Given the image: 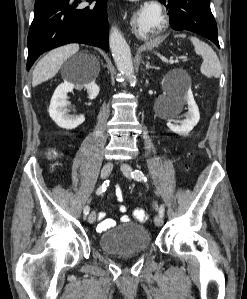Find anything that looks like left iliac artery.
<instances>
[{
  "instance_id": "44dca946",
  "label": "left iliac artery",
  "mask_w": 247,
  "mask_h": 299,
  "mask_svg": "<svg viewBox=\"0 0 247 299\" xmlns=\"http://www.w3.org/2000/svg\"><path fill=\"white\" fill-rule=\"evenodd\" d=\"M131 175H132V178H134L137 181H146L145 175L140 170H135L134 172H132ZM164 212H165V207H164V205H161L159 208V215L161 217H164Z\"/></svg>"
}]
</instances>
